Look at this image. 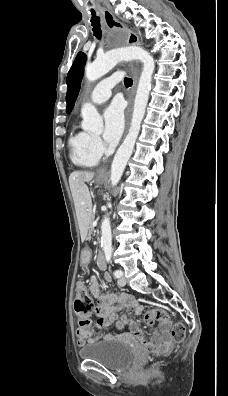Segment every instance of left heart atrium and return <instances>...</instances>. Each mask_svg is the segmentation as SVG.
Listing matches in <instances>:
<instances>
[{
  "label": "left heart atrium",
  "instance_id": "left-heart-atrium-1",
  "mask_svg": "<svg viewBox=\"0 0 228 396\" xmlns=\"http://www.w3.org/2000/svg\"><path fill=\"white\" fill-rule=\"evenodd\" d=\"M103 137L108 144H115L122 135L124 129V108L119 100L113 101L104 112Z\"/></svg>",
  "mask_w": 228,
  "mask_h": 396
}]
</instances>
